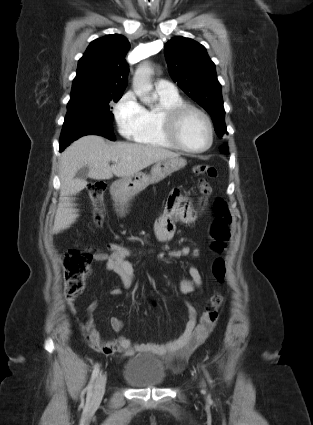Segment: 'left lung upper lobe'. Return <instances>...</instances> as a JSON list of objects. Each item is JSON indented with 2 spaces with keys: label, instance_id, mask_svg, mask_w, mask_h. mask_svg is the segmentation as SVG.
<instances>
[{
  "label": "left lung upper lobe",
  "instance_id": "1",
  "mask_svg": "<svg viewBox=\"0 0 313 425\" xmlns=\"http://www.w3.org/2000/svg\"><path fill=\"white\" fill-rule=\"evenodd\" d=\"M164 53L171 78L210 114L221 138L227 133L221 85L205 47L193 39L177 36L166 43ZM221 149L228 153L226 145Z\"/></svg>",
  "mask_w": 313,
  "mask_h": 425
}]
</instances>
